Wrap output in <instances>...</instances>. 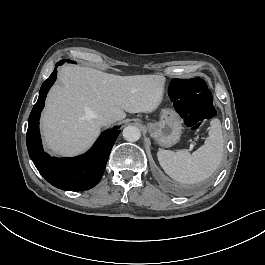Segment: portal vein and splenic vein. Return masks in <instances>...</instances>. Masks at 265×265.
I'll list each match as a JSON object with an SVG mask.
<instances>
[{
  "instance_id": "portal-vein-and-splenic-vein-1",
  "label": "portal vein and splenic vein",
  "mask_w": 265,
  "mask_h": 265,
  "mask_svg": "<svg viewBox=\"0 0 265 265\" xmlns=\"http://www.w3.org/2000/svg\"><path fill=\"white\" fill-rule=\"evenodd\" d=\"M192 149H193V145L191 144V145H190V150H192Z\"/></svg>"
}]
</instances>
